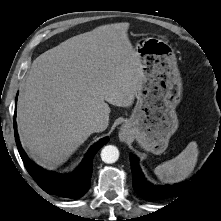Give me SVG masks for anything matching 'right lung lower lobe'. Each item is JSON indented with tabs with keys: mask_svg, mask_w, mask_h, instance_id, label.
Here are the masks:
<instances>
[{
	"mask_svg": "<svg viewBox=\"0 0 221 221\" xmlns=\"http://www.w3.org/2000/svg\"><path fill=\"white\" fill-rule=\"evenodd\" d=\"M14 130L16 145L24 165L29 174L45 192L72 199H78L86 193L90 187L91 174L93 170V158L97 151L109 141L108 137L101 139L89 149L82 164L74 173L71 175H60L44 170L28 158L27 154L21 147V143L16 131L15 119Z\"/></svg>",
	"mask_w": 221,
	"mask_h": 221,
	"instance_id": "98d812e1",
	"label": "right lung lower lobe"
}]
</instances>
